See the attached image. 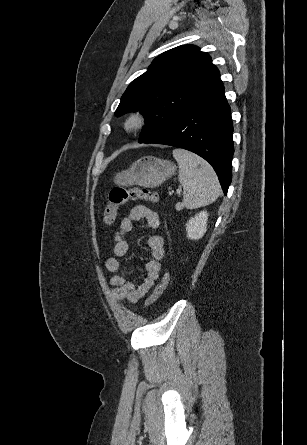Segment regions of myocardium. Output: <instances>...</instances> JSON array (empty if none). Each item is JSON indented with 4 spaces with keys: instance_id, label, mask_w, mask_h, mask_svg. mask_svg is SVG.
Wrapping results in <instances>:
<instances>
[{
    "instance_id": "myocardium-1",
    "label": "myocardium",
    "mask_w": 307,
    "mask_h": 445,
    "mask_svg": "<svg viewBox=\"0 0 307 445\" xmlns=\"http://www.w3.org/2000/svg\"><path fill=\"white\" fill-rule=\"evenodd\" d=\"M130 120H136V126L132 129H128L126 127L127 123ZM151 122V114L150 112L143 107H136L129 110L123 120H122V129L125 133H136L144 128H146Z\"/></svg>"
}]
</instances>
